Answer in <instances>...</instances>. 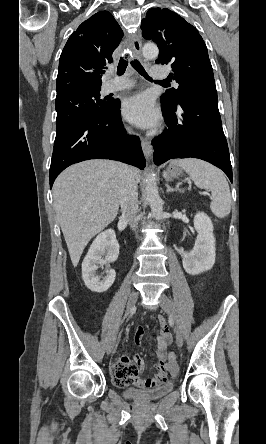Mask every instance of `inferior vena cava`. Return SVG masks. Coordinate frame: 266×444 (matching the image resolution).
Wrapping results in <instances>:
<instances>
[{
    "label": "inferior vena cava",
    "mask_w": 266,
    "mask_h": 444,
    "mask_svg": "<svg viewBox=\"0 0 266 444\" xmlns=\"http://www.w3.org/2000/svg\"><path fill=\"white\" fill-rule=\"evenodd\" d=\"M121 196L120 206L122 218L130 223L133 230L137 227L138 215V191L137 181L132 175L129 166L121 165Z\"/></svg>",
    "instance_id": "1"
}]
</instances>
